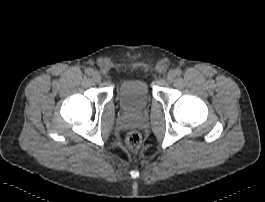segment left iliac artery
Returning a JSON list of instances; mask_svg holds the SVG:
<instances>
[{
    "label": "left iliac artery",
    "mask_w": 265,
    "mask_h": 202,
    "mask_svg": "<svg viewBox=\"0 0 265 202\" xmlns=\"http://www.w3.org/2000/svg\"><path fill=\"white\" fill-rule=\"evenodd\" d=\"M175 73H176V75H181L182 74V70L180 68H176L175 69Z\"/></svg>",
    "instance_id": "44dca946"
}]
</instances>
